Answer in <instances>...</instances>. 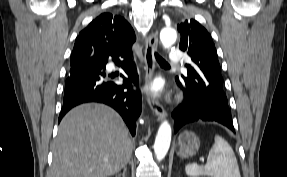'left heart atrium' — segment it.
<instances>
[{
	"instance_id": "39dd6f15",
	"label": "left heart atrium",
	"mask_w": 287,
	"mask_h": 177,
	"mask_svg": "<svg viewBox=\"0 0 287 177\" xmlns=\"http://www.w3.org/2000/svg\"><path fill=\"white\" fill-rule=\"evenodd\" d=\"M162 83L159 80H154L148 83V89L153 93H160L162 90Z\"/></svg>"
}]
</instances>
